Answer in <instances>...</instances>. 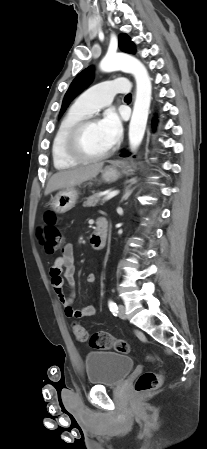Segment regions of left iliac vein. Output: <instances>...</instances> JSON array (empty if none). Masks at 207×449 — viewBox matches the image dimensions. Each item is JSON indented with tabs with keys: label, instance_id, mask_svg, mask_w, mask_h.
Returning <instances> with one entry per match:
<instances>
[{
	"label": "left iliac vein",
	"instance_id": "obj_1",
	"mask_svg": "<svg viewBox=\"0 0 207 449\" xmlns=\"http://www.w3.org/2000/svg\"><path fill=\"white\" fill-rule=\"evenodd\" d=\"M118 316L121 319H126L125 307L123 305H119Z\"/></svg>",
	"mask_w": 207,
	"mask_h": 449
}]
</instances>
